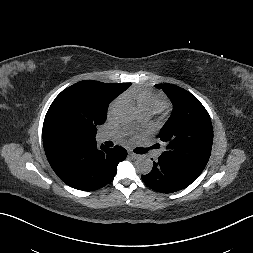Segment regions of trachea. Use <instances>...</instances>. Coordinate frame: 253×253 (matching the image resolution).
Wrapping results in <instances>:
<instances>
[{
	"mask_svg": "<svg viewBox=\"0 0 253 253\" xmlns=\"http://www.w3.org/2000/svg\"><path fill=\"white\" fill-rule=\"evenodd\" d=\"M148 150L146 148H136L134 150L135 153H138V154H144L146 153Z\"/></svg>",
	"mask_w": 253,
	"mask_h": 253,
	"instance_id": "3493384b",
	"label": "trachea"
}]
</instances>
